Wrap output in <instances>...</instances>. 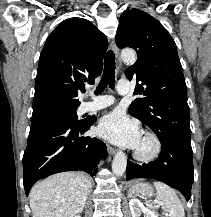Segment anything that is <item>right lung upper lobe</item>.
Instances as JSON below:
<instances>
[{
	"label": "right lung upper lobe",
	"mask_w": 211,
	"mask_h": 217,
	"mask_svg": "<svg viewBox=\"0 0 211 217\" xmlns=\"http://www.w3.org/2000/svg\"><path fill=\"white\" fill-rule=\"evenodd\" d=\"M107 47L106 36L90 21L71 18L60 23L40 55L31 119L77 109L78 90L94 84Z\"/></svg>",
	"instance_id": "cb5924a9"
}]
</instances>
